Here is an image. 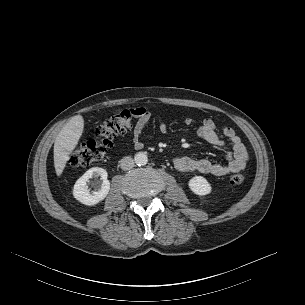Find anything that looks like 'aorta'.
Segmentation results:
<instances>
[{
  "mask_svg": "<svg viewBox=\"0 0 305 305\" xmlns=\"http://www.w3.org/2000/svg\"><path fill=\"white\" fill-rule=\"evenodd\" d=\"M134 161L138 166H144L148 162V157L145 152H138L134 156Z\"/></svg>",
  "mask_w": 305,
  "mask_h": 305,
  "instance_id": "762f6f07",
  "label": "aorta"
}]
</instances>
